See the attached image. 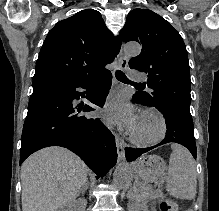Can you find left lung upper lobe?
Here are the masks:
<instances>
[{
	"mask_svg": "<svg viewBox=\"0 0 219 211\" xmlns=\"http://www.w3.org/2000/svg\"><path fill=\"white\" fill-rule=\"evenodd\" d=\"M124 42L137 41L141 53L129 61V67L147 73L152 91L136 96L162 114H190V67L182 37L164 18L147 9H134L120 32Z\"/></svg>",
	"mask_w": 219,
	"mask_h": 211,
	"instance_id": "1",
	"label": "left lung upper lobe"
}]
</instances>
